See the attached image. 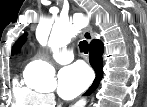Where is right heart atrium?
I'll return each instance as SVG.
<instances>
[{
	"label": "right heart atrium",
	"mask_w": 147,
	"mask_h": 107,
	"mask_svg": "<svg viewBox=\"0 0 147 107\" xmlns=\"http://www.w3.org/2000/svg\"><path fill=\"white\" fill-rule=\"evenodd\" d=\"M44 105H51L54 103V96L52 94H43Z\"/></svg>",
	"instance_id": "right-heart-atrium-1"
}]
</instances>
